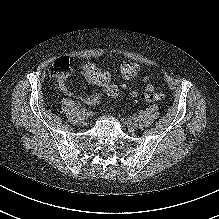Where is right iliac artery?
<instances>
[{"label": "right iliac artery", "mask_w": 219, "mask_h": 219, "mask_svg": "<svg viewBox=\"0 0 219 219\" xmlns=\"http://www.w3.org/2000/svg\"><path fill=\"white\" fill-rule=\"evenodd\" d=\"M86 111H87V110H86L85 108H82L80 112H81L82 114H84V113H86Z\"/></svg>", "instance_id": "right-iliac-artery-1"}]
</instances>
